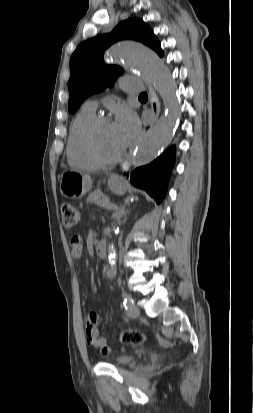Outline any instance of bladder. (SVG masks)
Here are the masks:
<instances>
[{
    "label": "bladder",
    "mask_w": 253,
    "mask_h": 413,
    "mask_svg": "<svg viewBox=\"0 0 253 413\" xmlns=\"http://www.w3.org/2000/svg\"><path fill=\"white\" fill-rule=\"evenodd\" d=\"M135 361V356L131 354H122L114 359V363L118 366H128Z\"/></svg>",
    "instance_id": "obj_1"
}]
</instances>
